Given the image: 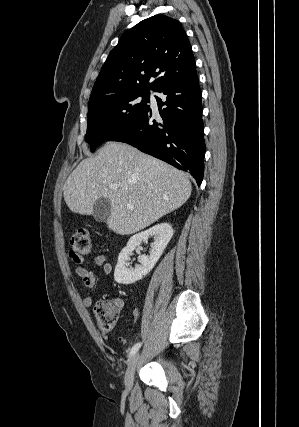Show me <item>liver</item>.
Returning a JSON list of instances; mask_svg holds the SVG:
<instances>
[{"label": "liver", "mask_w": 299, "mask_h": 427, "mask_svg": "<svg viewBox=\"0 0 299 427\" xmlns=\"http://www.w3.org/2000/svg\"><path fill=\"white\" fill-rule=\"evenodd\" d=\"M191 190L184 172L126 143L108 142L69 175L63 196L69 209L81 215L93 214L94 203L108 199V228L129 235L181 207Z\"/></svg>", "instance_id": "obj_1"}]
</instances>
